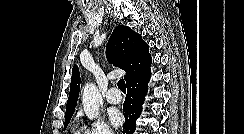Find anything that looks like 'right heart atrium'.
Listing matches in <instances>:
<instances>
[{"label":"right heart atrium","mask_w":244,"mask_h":134,"mask_svg":"<svg viewBox=\"0 0 244 134\" xmlns=\"http://www.w3.org/2000/svg\"><path fill=\"white\" fill-rule=\"evenodd\" d=\"M84 134H114L112 129L102 119L94 120L84 131Z\"/></svg>","instance_id":"obj_1"}]
</instances>
